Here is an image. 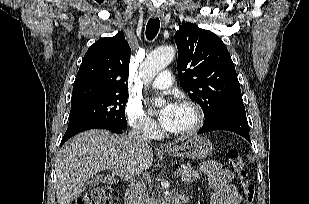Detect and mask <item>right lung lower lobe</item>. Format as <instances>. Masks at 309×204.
<instances>
[{
  "label": "right lung lower lobe",
  "mask_w": 309,
  "mask_h": 204,
  "mask_svg": "<svg viewBox=\"0 0 309 204\" xmlns=\"http://www.w3.org/2000/svg\"><path fill=\"white\" fill-rule=\"evenodd\" d=\"M95 128L106 129V130H109V131H112V132L118 133V134L122 133V131L124 130L122 128L114 127L112 125H108V124L101 123V122H95V121L79 123V124H76L74 126L68 127V129H67V131H66V133H65V135L62 139L61 146L72 136H74V135H76V134H78L82 131L89 130V129H95Z\"/></svg>",
  "instance_id": "obj_1"
}]
</instances>
